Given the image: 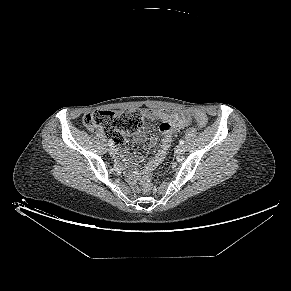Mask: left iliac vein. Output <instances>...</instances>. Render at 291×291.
Here are the masks:
<instances>
[{
    "mask_svg": "<svg viewBox=\"0 0 291 291\" xmlns=\"http://www.w3.org/2000/svg\"><path fill=\"white\" fill-rule=\"evenodd\" d=\"M185 152V147L184 146H182V145H178L177 147H176V153L177 154H183Z\"/></svg>",
    "mask_w": 291,
    "mask_h": 291,
    "instance_id": "left-iliac-vein-1",
    "label": "left iliac vein"
}]
</instances>
